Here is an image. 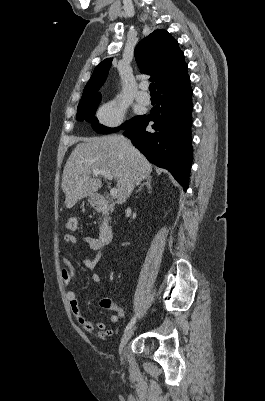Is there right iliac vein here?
Masks as SVG:
<instances>
[{"instance_id": "right-iliac-vein-1", "label": "right iliac vein", "mask_w": 265, "mask_h": 401, "mask_svg": "<svg viewBox=\"0 0 265 401\" xmlns=\"http://www.w3.org/2000/svg\"><path fill=\"white\" fill-rule=\"evenodd\" d=\"M134 330H135V326L132 327V328H130L129 330H127V331L124 333V335H123V337H122V339H121V341H120V344H119V352H120V353L123 351V349L125 348L127 342L129 341V339H130L131 336L133 335Z\"/></svg>"}]
</instances>
